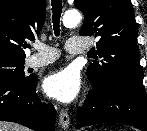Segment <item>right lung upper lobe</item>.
I'll list each match as a JSON object with an SVG mask.
<instances>
[{"label": "right lung upper lobe", "mask_w": 147, "mask_h": 131, "mask_svg": "<svg viewBox=\"0 0 147 131\" xmlns=\"http://www.w3.org/2000/svg\"><path fill=\"white\" fill-rule=\"evenodd\" d=\"M45 0H0V57L25 59L27 40L41 30Z\"/></svg>", "instance_id": "right-lung-upper-lobe-1"}]
</instances>
